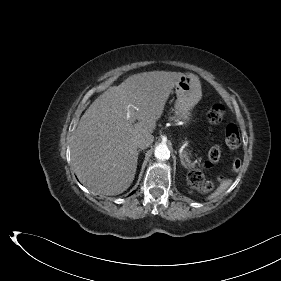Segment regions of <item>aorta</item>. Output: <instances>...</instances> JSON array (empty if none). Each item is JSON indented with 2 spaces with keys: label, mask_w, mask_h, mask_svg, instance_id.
Returning <instances> with one entry per match:
<instances>
[{
  "label": "aorta",
  "mask_w": 281,
  "mask_h": 281,
  "mask_svg": "<svg viewBox=\"0 0 281 281\" xmlns=\"http://www.w3.org/2000/svg\"><path fill=\"white\" fill-rule=\"evenodd\" d=\"M154 154H155V157L161 161L166 160L170 157V151H169L168 147L166 145H162V144L158 145L155 148Z\"/></svg>",
  "instance_id": "aorta-1"
}]
</instances>
